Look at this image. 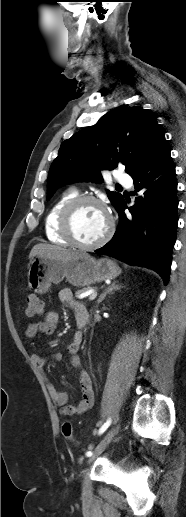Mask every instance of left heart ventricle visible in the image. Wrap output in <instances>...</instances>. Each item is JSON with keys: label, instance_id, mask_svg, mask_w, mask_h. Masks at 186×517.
<instances>
[{"label": "left heart ventricle", "instance_id": "1", "mask_svg": "<svg viewBox=\"0 0 186 517\" xmlns=\"http://www.w3.org/2000/svg\"><path fill=\"white\" fill-rule=\"evenodd\" d=\"M108 226V219L103 211L96 204L87 203L79 208L74 221V233L82 243H93L100 239Z\"/></svg>", "mask_w": 186, "mask_h": 517}]
</instances>
